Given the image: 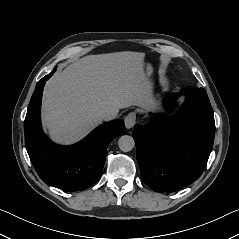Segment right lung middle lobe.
Returning a JSON list of instances; mask_svg holds the SVG:
<instances>
[{
  "label": "right lung middle lobe",
  "instance_id": "right-lung-middle-lobe-1",
  "mask_svg": "<svg viewBox=\"0 0 239 239\" xmlns=\"http://www.w3.org/2000/svg\"><path fill=\"white\" fill-rule=\"evenodd\" d=\"M55 70H56V68H54L52 72L54 73V72H55Z\"/></svg>",
  "mask_w": 239,
  "mask_h": 239
}]
</instances>
